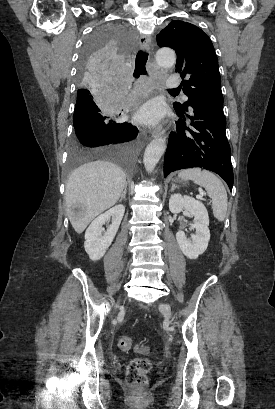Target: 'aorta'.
<instances>
[{"label":"aorta","mask_w":275,"mask_h":409,"mask_svg":"<svg viewBox=\"0 0 275 409\" xmlns=\"http://www.w3.org/2000/svg\"><path fill=\"white\" fill-rule=\"evenodd\" d=\"M156 60L159 66L167 68V66H173L176 62V54L171 48H160L156 52ZM166 148L165 138H154L149 142L148 146L145 148L143 162L145 164L146 170L152 172L154 170L159 158L164 154Z\"/></svg>","instance_id":"762f6f07"}]
</instances>
